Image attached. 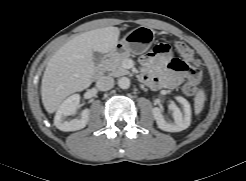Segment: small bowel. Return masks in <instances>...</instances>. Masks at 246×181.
Listing matches in <instances>:
<instances>
[{
  "instance_id": "c3829d8e",
  "label": "small bowel",
  "mask_w": 246,
  "mask_h": 181,
  "mask_svg": "<svg viewBox=\"0 0 246 181\" xmlns=\"http://www.w3.org/2000/svg\"><path fill=\"white\" fill-rule=\"evenodd\" d=\"M141 64L142 78L152 88H175L189 76L185 61L172 57L168 47L143 55Z\"/></svg>"
}]
</instances>
